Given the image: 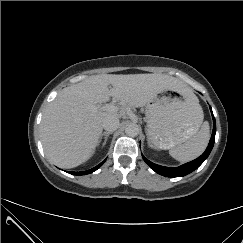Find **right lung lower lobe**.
Returning a JSON list of instances; mask_svg holds the SVG:
<instances>
[{"label": "right lung lower lobe", "instance_id": "98d812e1", "mask_svg": "<svg viewBox=\"0 0 243 243\" xmlns=\"http://www.w3.org/2000/svg\"><path fill=\"white\" fill-rule=\"evenodd\" d=\"M105 161L101 162L99 165H97L96 167L90 169V170H87V171H83V172H69L70 174H73V175H86V174H89V173H92L94 171H96Z\"/></svg>", "mask_w": 243, "mask_h": 243}]
</instances>
